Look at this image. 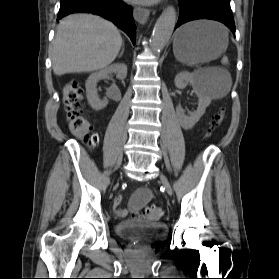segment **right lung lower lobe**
Segmentation results:
<instances>
[{"mask_svg": "<svg viewBox=\"0 0 279 279\" xmlns=\"http://www.w3.org/2000/svg\"><path fill=\"white\" fill-rule=\"evenodd\" d=\"M92 13L100 15L125 31L135 44V24L132 7L122 0H61L58 18L71 13Z\"/></svg>", "mask_w": 279, "mask_h": 279, "instance_id": "right-lung-lower-lobe-1", "label": "right lung lower lobe"}]
</instances>
